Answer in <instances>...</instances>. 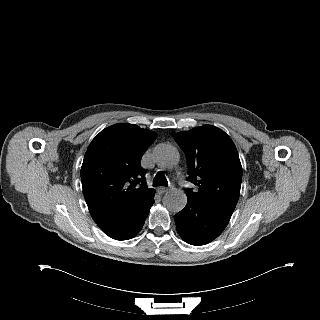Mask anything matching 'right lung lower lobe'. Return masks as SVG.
I'll return each mask as SVG.
<instances>
[{"mask_svg":"<svg viewBox=\"0 0 320 320\" xmlns=\"http://www.w3.org/2000/svg\"><path fill=\"white\" fill-rule=\"evenodd\" d=\"M154 203L151 199L145 206L112 220L97 223L100 229L115 240L133 238L143 227L145 219Z\"/></svg>","mask_w":320,"mask_h":320,"instance_id":"obj_1","label":"right lung lower lobe"}]
</instances>
